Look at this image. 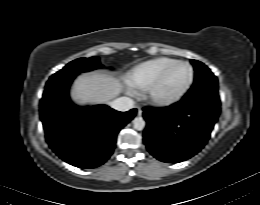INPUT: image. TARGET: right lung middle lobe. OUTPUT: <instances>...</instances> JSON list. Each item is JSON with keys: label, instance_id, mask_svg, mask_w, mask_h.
Listing matches in <instances>:
<instances>
[{"label": "right lung middle lobe", "instance_id": "right-lung-middle-lobe-1", "mask_svg": "<svg viewBox=\"0 0 260 205\" xmlns=\"http://www.w3.org/2000/svg\"><path fill=\"white\" fill-rule=\"evenodd\" d=\"M102 67L97 57L79 58L67 64L62 70L55 73H80Z\"/></svg>", "mask_w": 260, "mask_h": 205}]
</instances>
